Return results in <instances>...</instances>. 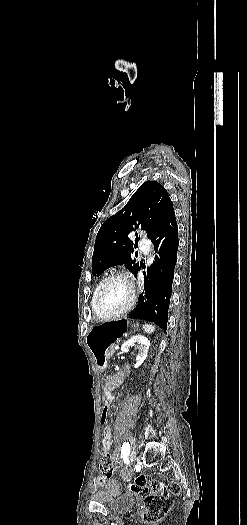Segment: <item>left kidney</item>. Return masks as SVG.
I'll return each mask as SVG.
<instances>
[{
  "label": "left kidney",
  "mask_w": 247,
  "mask_h": 525,
  "mask_svg": "<svg viewBox=\"0 0 247 525\" xmlns=\"http://www.w3.org/2000/svg\"><path fill=\"white\" fill-rule=\"evenodd\" d=\"M134 345H137V347H139V353L137 355L135 365V369H137V367H140L143 361H145L148 349L150 347V343L148 339H146V337H143V335H136V337H131V339H128L126 343H123L121 351L125 353V351H129V349H131V347H134Z\"/></svg>",
  "instance_id": "1"
}]
</instances>
